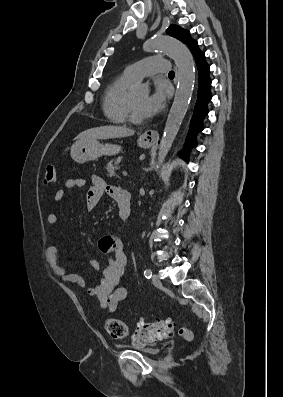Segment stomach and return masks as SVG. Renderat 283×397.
Wrapping results in <instances>:
<instances>
[{"label": "stomach", "mask_w": 283, "mask_h": 397, "mask_svg": "<svg viewBox=\"0 0 283 397\" xmlns=\"http://www.w3.org/2000/svg\"><path fill=\"white\" fill-rule=\"evenodd\" d=\"M138 145L142 148H149L152 143L146 141L143 137L138 139ZM121 151V146L113 144H101L97 139L87 140L83 142L77 141L71 147V157L77 163H85L97 160L103 155L112 156Z\"/></svg>", "instance_id": "obj_1"}]
</instances>
